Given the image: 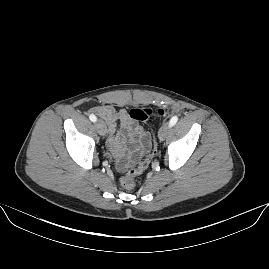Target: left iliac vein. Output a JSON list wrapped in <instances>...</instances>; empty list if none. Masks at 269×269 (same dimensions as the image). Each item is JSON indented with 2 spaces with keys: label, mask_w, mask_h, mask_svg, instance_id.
<instances>
[{
  "label": "left iliac vein",
  "mask_w": 269,
  "mask_h": 269,
  "mask_svg": "<svg viewBox=\"0 0 269 269\" xmlns=\"http://www.w3.org/2000/svg\"><path fill=\"white\" fill-rule=\"evenodd\" d=\"M169 130H170L169 123H164V124L160 127V129H159V131H158V138H159L160 140H164V139L166 138V136H167Z\"/></svg>",
  "instance_id": "1"
}]
</instances>
